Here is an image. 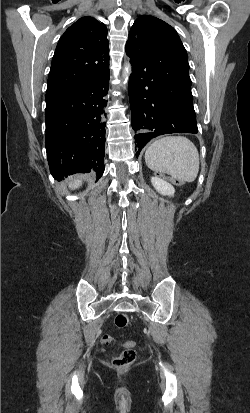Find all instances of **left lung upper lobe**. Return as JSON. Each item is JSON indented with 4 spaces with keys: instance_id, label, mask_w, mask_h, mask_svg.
Instances as JSON below:
<instances>
[{
    "instance_id": "5c2ea615",
    "label": "left lung upper lobe",
    "mask_w": 250,
    "mask_h": 413,
    "mask_svg": "<svg viewBox=\"0 0 250 413\" xmlns=\"http://www.w3.org/2000/svg\"><path fill=\"white\" fill-rule=\"evenodd\" d=\"M142 45L149 48L148 63L153 72L190 80L187 52L173 27L156 17L140 16L129 32L126 51Z\"/></svg>"
}]
</instances>
